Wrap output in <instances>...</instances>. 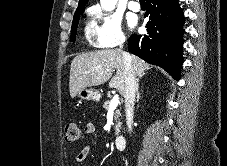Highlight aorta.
<instances>
[{"instance_id": "762f6f07", "label": "aorta", "mask_w": 227, "mask_h": 166, "mask_svg": "<svg viewBox=\"0 0 227 166\" xmlns=\"http://www.w3.org/2000/svg\"><path fill=\"white\" fill-rule=\"evenodd\" d=\"M101 6L108 11H111L115 8L117 0H100Z\"/></svg>"}]
</instances>
